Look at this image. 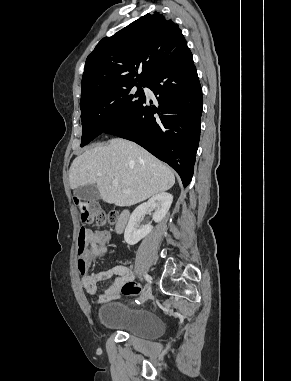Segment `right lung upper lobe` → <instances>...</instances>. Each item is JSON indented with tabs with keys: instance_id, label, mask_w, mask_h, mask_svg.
Wrapping results in <instances>:
<instances>
[{
	"instance_id": "obj_1",
	"label": "right lung upper lobe",
	"mask_w": 291,
	"mask_h": 381,
	"mask_svg": "<svg viewBox=\"0 0 291 381\" xmlns=\"http://www.w3.org/2000/svg\"><path fill=\"white\" fill-rule=\"evenodd\" d=\"M185 48L187 42L173 21L158 12L140 17L103 38L87 57L80 105L112 88L147 83Z\"/></svg>"
}]
</instances>
